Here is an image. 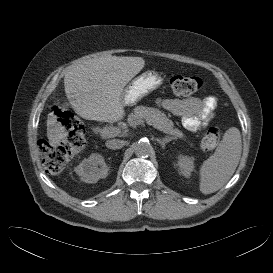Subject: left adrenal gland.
Masks as SVG:
<instances>
[{"instance_id":"obj_1","label":"left adrenal gland","mask_w":273,"mask_h":273,"mask_svg":"<svg viewBox=\"0 0 273 273\" xmlns=\"http://www.w3.org/2000/svg\"><path fill=\"white\" fill-rule=\"evenodd\" d=\"M172 140L171 137H165V138H156V141L162 146L163 149L166 147V143L170 142Z\"/></svg>"}]
</instances>
